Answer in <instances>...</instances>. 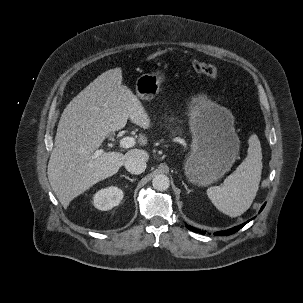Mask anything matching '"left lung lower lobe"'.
Wrapping results in <instances>:
<instances>
[{"instance_id":"obj_1","label":"left lung lower lobe","mask_w":303,"mask_h":303,"mask_svg":"<svg viewBox=\"0 0 303 303\" xmlns=\"http://www.w3.org/2000/svg\"><path fill=\"white\" fill-rule=\"evenodd\" d=\"M264 206H265V204L261 207V210L260 211H262V209L264 208ZM250 220H248L247 222H245V223H243V224H241V225H238V226H236V227H233V228H231V229H228V230H225V231H219V232H216V233H214L215 235H220V236H224V235H230V234H233V233H235V232H237L239 229H241L246 223H248ZM186 227L189 229V230H191V231H193V232H197V233H200V234H205V232L204 231H201V230H197L196 228H194V227H192V226H190V225H186Z\"/></svg>"}]
</instances>
